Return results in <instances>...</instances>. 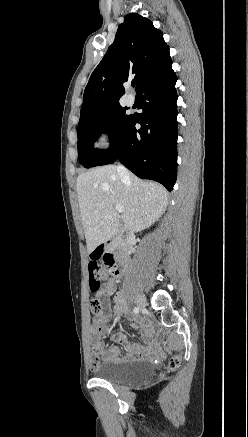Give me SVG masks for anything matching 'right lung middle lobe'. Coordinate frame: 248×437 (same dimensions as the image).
<instances>
[{"mask_svg":"<svg viewBox=\"0 0 248 437\" xmlns=\"http://www.w3.org/2000/svg\"><path fill=\"white\" fill-rule=\"evenodd\" d=\"M127 108L117 105L109 110L95 114L78 125V156L86 168L94 166L117 143L132 115L126 114ZM109 130L110 148L105 152L94 150L93 142L102 131Z\"/></svg>","mask_w":248,"mask_h":437,"instance_id":"obj_1","label":"right lung middle lobe"}]
</instances>
